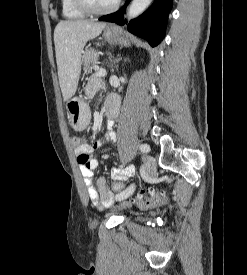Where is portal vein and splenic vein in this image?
Here are the masks:
<instances>
[{"instance_id": "portal-vein-and-splenic-vein-1", "label": "portal vein and splenic vein", "mask_w": 247, "mask_h": 275, "mask_svg": "<svg viewBox=\"0 0 247 275\" xmlns=\"http://www.w3.org/2000/svg\"><path fill=\"white\" fill-rule=\"evenodd\" d=\"M107 72L106 70L104 69H99L97 72H96V75L100 76V77H104L106 76Z\"/></svg>"}]
</instances>
